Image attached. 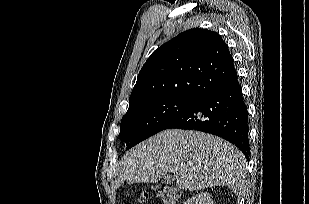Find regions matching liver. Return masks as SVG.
Wrapping results in <instances>:
<instances>
[{
	"mask_svg": "<svg viewBox=\"0 0 309 204\" xmlns=\"http://www.w3.org/2000/svg\"><path fill=\"white\" fill-rule=\"evenodd\" d=\"M168 172L183 190L227 186L239 195L247 162L242 152L220 137L179 129L164 130L126 153L115 186L124 181L156 183Z\"/></svg>",
	"mask_w": 309,
	"mask_h": 204,
	"instance_id": "obj_1",
	"label": "liver"
}]
</instances>
